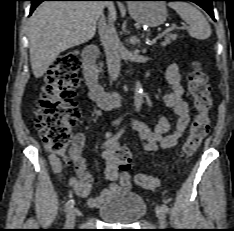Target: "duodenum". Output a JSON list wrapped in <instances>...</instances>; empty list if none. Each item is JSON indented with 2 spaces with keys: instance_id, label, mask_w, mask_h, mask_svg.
I'll use <instances>...</instances> for the list:
<instances>
[{
  "instance_id": "obj_1",
  "label": "duodenum",
  "mask_w": 234,
  "mask_h": 231,
  "mask_svg": "<svg viewBox=\"0 0 234 231\" xmlns=\"http://www.w3.org/2000/svg\"><path fill=\"white\" fill-rule=\"evenodd\" d=\"M99 50L96 45L87 46L82 52L83 75L91 100L101 109L110 110L123 104L125 97L119 92H108L98 82L95 61Z\"/></svg>"
}]
</instances>
